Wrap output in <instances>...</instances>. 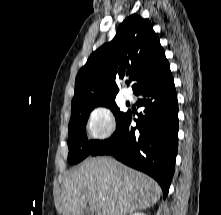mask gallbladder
Segmentation results:
<instances>
[{
	"instance_id": "gallbladder-1",
	"label": "gallbladder",
	"mask_w": 221,
	"mask_h": 215,
	"mask_svg": "<svg viewBox=\"0 0 221 215\" xmlns=\"http://www.w3.org/2000/svg\"><path fill=\"white\" fill-rule=\"evenodd\" d=\"M81 215H94V213H93L92 210H90V207L87 206V207L83 210V212L81 213Z\"/></svg>"
}]
</instances>
